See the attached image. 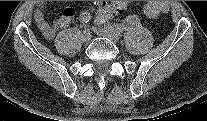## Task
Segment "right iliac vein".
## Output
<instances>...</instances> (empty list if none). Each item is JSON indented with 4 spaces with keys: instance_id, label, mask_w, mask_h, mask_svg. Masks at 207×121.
Returning <instances> with one entry per match:
<instances>
[{
    "instance_id": "63e3f726",
    "label": "right iliac vein",
    "mask_w": 207,
    "mask_h": 121,
    "mask_svg": "<svg viewBox=\"0 0 207 121\" xmlns=\"http://www.w3.org/2000/svg\"><path fill=\"white\" fill-rule=\"evenodd\" d=\"M92 35L89 30H84L82 39L85 43H89L91 41Z\"/></svg>"
}]
</instances>
